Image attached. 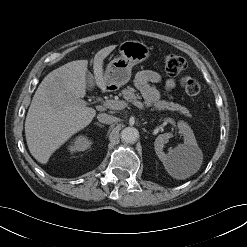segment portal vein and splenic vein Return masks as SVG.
<instances>
[{"label":"portal vein and splenic vein","mask_w":247,"mask_h":247,"mask_svg":"<svg viewBox=\"0 0 247 247\" xmlns=\"http://www.w3.org/2000/svg\"><path fill=\"white\" fill-rule=\"evenodd\" d=\"M135 106H137L138 108L142 109V103L140 102H134L133 103ZM103 106L109 109H116V110H121L124 109L125 107H127V103L125 101L122 100H107L105 102H103Z\"/></svg>","instance_id":"1"}]
</instances>
